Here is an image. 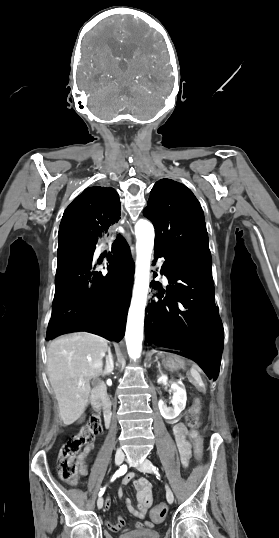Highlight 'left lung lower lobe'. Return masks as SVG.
Wrapping results in <instances>:
<instances>
[{
    "label": "left lung lower lobe",
    "mask_w": 279,
    "mask_h": 538,
    "mask_svg": "<svg viewBox=\"0 0 279 538\" xmlns=\"http://www.w3.org/2000/svg\"><path fill=\"white\" fill-rule=\"evenodd\" d=\"M154 257L165 259L161 274L170 285L165 290L157 281L151 284L159 299L146 308V341L188 353L200 362L209 379L215 378L224 336L214 300L211 259H182L156 247Z\"/></svg>",
    "instance_id": "left-lung-lower-lobe-1"
}]
</instances>
